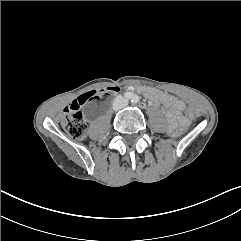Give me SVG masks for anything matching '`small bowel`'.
I'll use <instances>...</instances> for the list:
<instances>
[{
    "mask_svg": "<svg viewBox=\"0 0 241 241\" xmlns=\"http://www.w3.org/2000/svg\"><path fill=\"white\" fill-rule=\"evenodd\" d=\"M117 91L118 88H116V90L112 91L111 93H116ZM149 95L159 99L164 105L169 108V111L167 112V117L173 126L187 124L186 120L181 115L182 110L185 107V104L182 100L158 92H150Z\"/></svg>",
    "mask_w": 241,
    "mask_h": 241,
    "instance_id": "1",
    "label": "small bowel"
}]
</instances>
